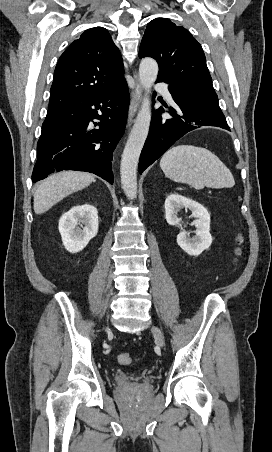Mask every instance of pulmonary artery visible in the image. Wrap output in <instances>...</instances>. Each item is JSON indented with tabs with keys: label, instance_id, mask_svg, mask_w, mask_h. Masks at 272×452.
Segmentation results:
<instances>
[{
	"label": "pulmonary artery",
	"instance_id": "1",
	"mask_svg": "<svg viewBox=\"0 0 272 452\" xmlns=\"http://www.w3.org/2000/svg\"><path fill=\"white\" fill-rule=\"evenodd\" d=\"M156 91L162 92L167 98H170V93L166 88V84L163 82H157L154 85Z\"/></svg>",
	"mask_w": 272,
	"mask_h": 452
}]
</instances>
